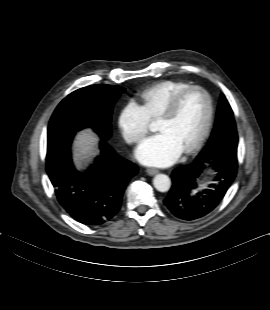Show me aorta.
Wrapping results in <instances>:
<instances>
[{"label": "aorta", "mask_w": 270, "mask_h": 310, "mask_svg": "<svg viewBox=\"0 0 270 310\" xmlns=\"http://www.w3.org/2000/svg\"><path fill=\"white\" fill-rule=\"evenodd\" d=\"M153 185L156 190L166 192L170 189V178L165 174H157L153 179Z\"/></svg>", "instance_id": "1"}]
</instances>
